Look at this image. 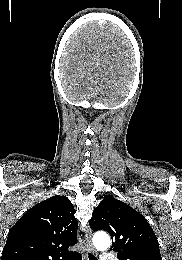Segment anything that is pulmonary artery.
<instances>
[{
    "instance_id": "e3ab8cb5",
    "label": "pulmonary artery",
    "mask_w": 182,
    "mask_h": 260,
    "mask_svg": "<svg viewBox=\"0 0 182 260\" xmlns=\"http://www.w3.org/2000/svg\"><path fill=\"white\" fill-rule=\"evenodd\" d=\"M101 260H118V259L110 253H103L101 255Z\"/></svg>"
}]
</instances>
